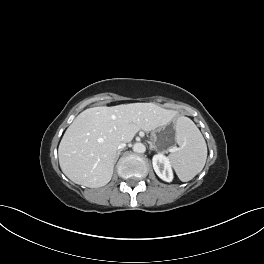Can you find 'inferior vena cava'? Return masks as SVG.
Listing matches in <instances>:
<instances>
[{"label": "inferior vena cava", "mask_w": 264, "mask_h": 264, "mask_svg": "<svg viewBox=\"0 0 264 264\" xmlns=\"http://www.w3.org/2000/svg\"><path fill=\"white\" fill-rule=\"evenodd\" d=\"M125 145H126L125 142L121 141V142L118 144L117 148H118V149L124 148Z\"/></svg>", "instance_id": "obj_1"}]
</instances>
